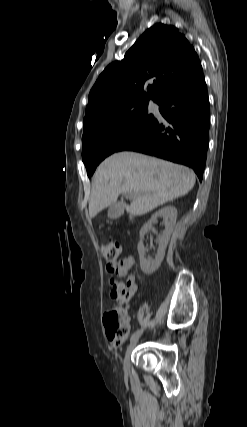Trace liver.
Segmentation results:
<instances>
[{
	"instance_id": "obj_1",
	"label": "liver",
	"mask_w": 247,
	"mask_h": 427,
	"mask_svg": "<svg viewBox=\"0 0 247 427\" xmlns=\"http://www.w3.org/2000/svg\"><path fill=\"white\" fill-rule=\"evenodd\" d=\"M194 172L182 165L136 152H119L97 168L91 188L89 216L95 217L117 201L120 194H131L126 211L144 215L166 202L186 195L194 187Z\"/></svg>"
}]
</instances>
